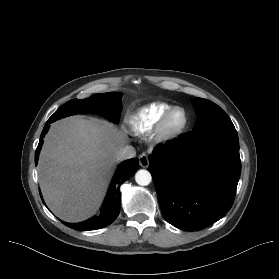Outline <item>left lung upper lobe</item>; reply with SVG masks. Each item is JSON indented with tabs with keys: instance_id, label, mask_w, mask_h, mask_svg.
I'll use <instances>...</instances> for the list:
<instances>
[{
	"instance_id": "obj_1",
	"label": "left lung upper lobe",
	"mask_w": 279,
	"mask_h": 279,
	"mask_svg": "<svg viewBox=\"0 0 279 279\" xmlns=\"http://www.w3.org/2000/svg\"><path fill=\"white\" fill-rule=\"evenodd\" d=\"M192 104L197 113V120L193 130L216 125H233L229 116L215 103L197 97L193 99Z\"/></svg>"
}]
</instances>
